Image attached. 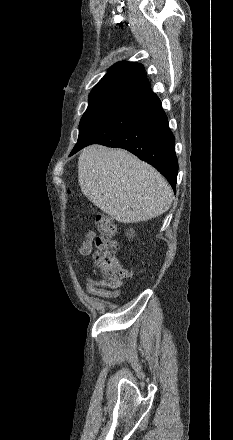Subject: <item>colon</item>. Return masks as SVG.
Masks as SVG:
<instances>
[{
    "mask_svg": "<svg viewBox=\"0 0 233 440\" xmlns=\"http://www.w3.org/2000/svg\"><path fill=\"white\" fill-rule=\"evenodd\" d=\"M96 223L100 235L95 239V264L107 280L113 285H118L122 280L131 277L132 273L115 259L118 249V244L113 238L115 225L110 216L101 212L96 213Z\"/></svg>",
    "mask_w": 233,
    "mask_h": 440,
    "instance_id": "5ec220e1",
    "label": "colon"
}]
</instances>
